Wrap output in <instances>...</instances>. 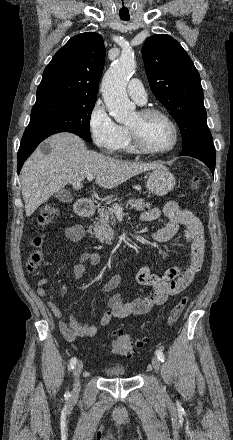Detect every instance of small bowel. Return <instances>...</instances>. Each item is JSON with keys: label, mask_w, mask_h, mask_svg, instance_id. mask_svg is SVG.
<instances>
[{"label": "small bowel", "mask_w": 233, "mask_h": 440, "mask_svg": "<svg viewBox=\"0 0 233 440\" xmlns=\"http://www.w3.org/2000/svg\"><path fill=\"white\" fill-rule=\"evenodd\" d=\"M164 215L167 223L164 227L152 233V240L156 243L170 241L178 232L179 227H184V238L190 248V254L184 266H175L167 269L163 274L153 273L148 265L139 268L136 273V281L152 289V292L131 302H123L120 295L115 294L107 302V310L102 315L99 323L86 324L73 316L68 321L63 320V312L59 306L49 301L47 306L51 313L58 319L59 329L63 336L73 341L78 337H92L100 329L106 327L114 318H126L131 315H142L150 312L154 307L164 304L170 296L177 295L184 291L192 282L195 275L200 271L206 247L204 228L198 217L190 210L182 208L176 201H169L163 210L151 208L141 214V220L152 222ZM64 235L72 242L82 239L84 229L81 225H71L64 229ZM101 258L97 252H84L74 265L72 277L75 280L81 279L87 270L99 264ZM122 282L121 274H114L102 285V292H110L117 288ZM47 279L42 277L37 283V294L40 297L47 295ZM67 291V285L63 284L59 296Z\"/></svg>", "instance_id": "c3829d8e"}]
</instances>
